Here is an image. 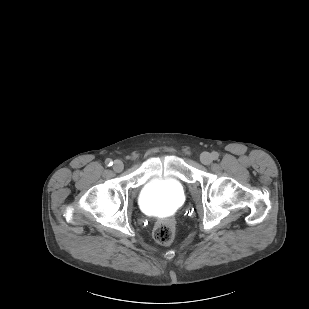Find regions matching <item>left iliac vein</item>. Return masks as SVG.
Here are the masks:
<instances>
[{
  "mask_svg": "<svg viewBox=\"0 0 309 309\" xmlns=\"http://www.w3.org/2000/svg\"><path fill=\"white\" fill-rule=\"evenodd\" d=\"M200 161L204 165H210L212 163V157L209 153L204 152L200 156Z\"/></svg>",
  "mask_w": 309,
  "mask_h": 309,
  "instance_id": "left-iliac-vein-1",
  "label": "left iliac vein"
}]
</instances>
